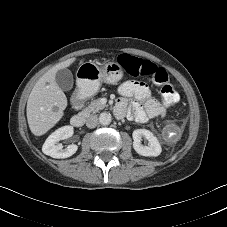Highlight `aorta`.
<instances>
[{
	"mask_svg": "<svg viewBox=\"0 0 227 227\" xmlns=\"http://www.w3.org/2000/svg\"><path fill=\"white\" fill-rule=\"evenodd\" d=\"M112 121V117L110 113L103 112L99 116V122L102 125H109Z\"/></svg>",
	"mask_w": 227,
	"mask_h": 227,
	"instance_id": "1",
	"label": "aorta"
}]
</instances>
